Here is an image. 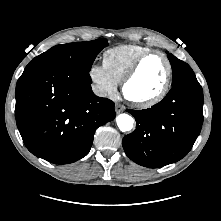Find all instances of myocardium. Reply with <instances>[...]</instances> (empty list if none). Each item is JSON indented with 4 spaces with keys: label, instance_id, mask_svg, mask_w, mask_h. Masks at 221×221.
I'll return each instance as SVG.
<instances>
[{
    "label": "myocardium",
    "instance_id": "myocardium-1",
    "mask_svg": "<svg viewBox=\"0 0 221 221\" xmlns=\"http://www.w3.org/2000/svg\"><path fill=\"white\" fill-rule=\"evenodd\" d=\"M154 54L160 55L164 59L166 66H167L166 78H165L162 88L160 89V91L158 93H156L155 95H153L149 98H146V99H136V98L131 97L127 91L129 83L132 81V79L138 73L144 60ZM172 76H173V65H172V62H171L170 58L168 57V55L166 53H164L163 51L150 49V50L142 53L134 61L132 66L129 68V70L125 74V76L121 82L123 95L130 103H132L133 105H135L139 108L151 107V106L161 102L166 97V95L168 94V92L170 90Z\"/></svg>",
    "mask_w": 221,
    "mask_h": 221
}]
</instances>
